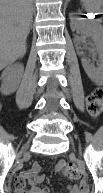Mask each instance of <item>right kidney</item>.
Masks as SVG:
<instances>
[{"label": "right kidney", "instance_id": "right-kidney-1", "mask_svg": "<svg viewBox=\"0 0 103 193\" xmlns=\"http://www.w3.org/2000/svg\"><path fill=\"white\" fill-rule=\"evenodd\" d=\"M23 72V65H12L7 67L1 75V92L5 95L13 93L19 84Z\"/></svg>", "mask_w": 103, "mask_h": 193}]
</instances>
